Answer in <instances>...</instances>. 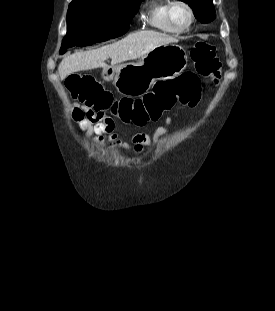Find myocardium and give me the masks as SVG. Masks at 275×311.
<instances>
[{
  "label": "myocardium",
  "instance_id": "obj_1",
  "mask_svg": "<svg viewBox=\"0 0 275 311\" xmlns=\"http://www.w3.org/2000/svg\"><path fill=\"white\" fill-rule=\"evenodd\" d=\"M176 5H182L184 6L188 13H189V21L188 23L184 26V27H177L175 26L172 17H171V11L172 8ZM166 17L168 20V23L177 31V32H184L186 30H188L190 28V26L192 25L193 21H194V11L192 9V7L184 0H172L166 10Z\"/></svg>",
  "mask_w": 275,
  "mask_h": 311
}]
</instances>
